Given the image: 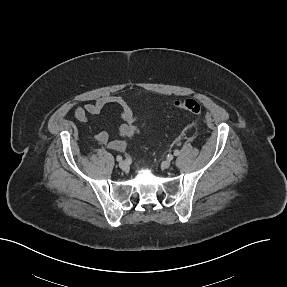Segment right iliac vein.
<instances>
[{
    "label": "right iliac vein",
    "mask_w": 287,
    "mask_h": 287,
    "mask_svg": "<svg viewBox=\"0 0 287 287\" xmlns=\"http://www.w3.org/2000/svg\"><path fill=\"white\" fill-rule=\"evenodd\" d=\"M119 167H120L122 170L126 171V170L129 169V164H128L126 161H120Z\"/></svg>",
    "instance_id": "1"
}]
</instances>
